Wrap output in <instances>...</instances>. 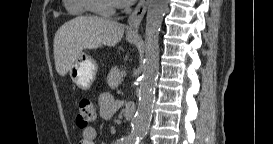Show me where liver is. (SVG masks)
<instances>
[{
  "label": "liver",
  "mask_w": 273,
  "mask_h": 144,
  "mask_svg": "<svg viewBox=\"0 0 273 144\" xmlns=\"http://www.w3.org/2000/svg\"><path fill=\"white\" fill-rule=\"evenodd\" d=\"M124 25L95 16H80L64 23L54 37L55 68L65 76L83 49L115 46L121 41Z\"/></svg>",
  "instance_id": "1"
}]
</instances>
